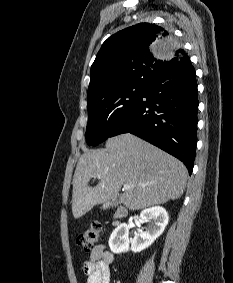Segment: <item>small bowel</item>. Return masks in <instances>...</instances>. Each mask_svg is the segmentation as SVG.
<instances>
[{"instance_id": "obj_1", "label": "small bowel", "mask_w": 233, "mask_h": 283, "mask_svg": "<svg viewBox=\"0 0 233 283\" xmlns=\"http://www.w3.org/2000/svg\"><path fill=\"white\" fill-rule=\"evenodd\" d=\"M113 258V254L106 249L104 244L96 245L83 265L87 283H109L110 264Z\"/></svg>"}]
</instances>
